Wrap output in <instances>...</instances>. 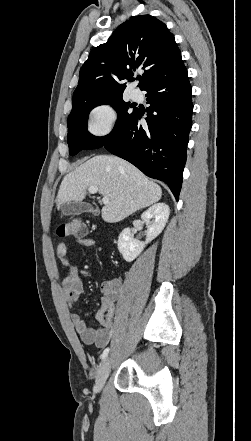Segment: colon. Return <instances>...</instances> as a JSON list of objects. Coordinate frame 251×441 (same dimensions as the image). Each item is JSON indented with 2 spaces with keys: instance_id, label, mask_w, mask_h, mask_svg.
Segmentation results:
<instances>
[{
  "instance_id": "1",
  "label": "colon",
  "mask_w": 251,
  "mask_h": 441,
  "mask_svg": "<svg viewBox=\"0 0 251 441\" xmlns=\"http://www.w3.org/2000/svg\"><path fill=\"white\" fill-rule=\"evenodd\" d=\"M88 233L87 226L85 222L78 217H74L62 224L57 228V234L60 237H74V238H84Z\"/></svg>"
}]
</instances>
